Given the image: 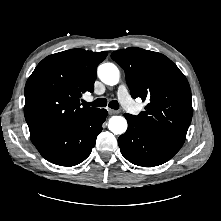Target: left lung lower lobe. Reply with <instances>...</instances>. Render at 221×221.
<instances>
[{"label":"left lung lower lobe","mask_w":221,"mask_h":221,"mask_svg":"<svg viewBox=\"0 0 221 221\" xmlns=\"http://www.w3.org/2000/svg\"><path fill=\"white\" fill-rule=\"evenodd\" d=\"M128 122L127 131L118 138L122 155L131 163L153 167L170 160L182 147L147 130L133 115L124 114Z\"/></svg>","instance_id":"left-lung-lower-lobe-1"}]
</instances>
